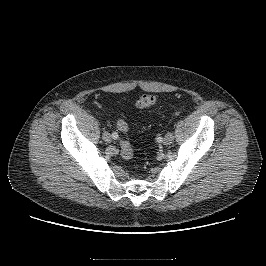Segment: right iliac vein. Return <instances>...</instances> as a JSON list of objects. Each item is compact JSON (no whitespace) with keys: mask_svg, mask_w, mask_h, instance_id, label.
Segmentation results:
<instances>
[{"mask_svg":"<svg viewBox=\"0 0 266 266\" xmlns=\"http://www.w3.org/2000/svg\"><path fill=\"white\" fill-rule=\"evenodd\" d=\"M103 139L106 141V142H110L111 141V136L108 132H104L103 133Z\"/></svg>","mask_w":266,"mask_h":266,"instance_id":"right-iliac-vein-1","label":"right iliac vein"}]
</instances>
